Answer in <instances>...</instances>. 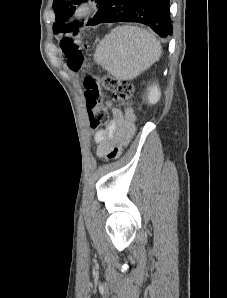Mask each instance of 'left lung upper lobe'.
Instances as JSON below:
<instances>
[{
  "mask_svg": "<svg viewBox=\"0 0 227 298\" xmlns=\"http://www.w3.org/2000/svg\"><path fill=\"white\" fill-rule=\"evenodd\" d=\"M86 0H54L53 9L56 14V23L53 25V31L55 34L61 32H71L74 31V34L78 32V27L82 26L83 23H67V20L75 10L76 4L85 2ZM99 4L97 14L88 21V25H96L99 21L100 16L106 8L108 0H95ZM73 25L72 27H70Z\"/></svg>",
  "mask_w": 227,
  "mask_h": 298,
  "instance_id": "5c2ea615",
  "label": "left lung upper lobe"
}]
</instances>
